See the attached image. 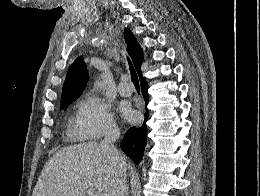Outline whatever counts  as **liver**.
<instances>
[{
  "instance_id": "1",
  "label": "liver",
  "mask_w": 260,
  "mask_h": 196,
  "mask_svg": "<svg viewBox=\"0 0 260 196\" xmlns=\"http://www.w3.org/2000/svg\"><path fill=\"white\" fill-rule=\"evenodd\" d=\"M117 168L97 142L61 148L45 164L32 196H86V188L110 196Z\"/></svg>"
}]
</instances>
